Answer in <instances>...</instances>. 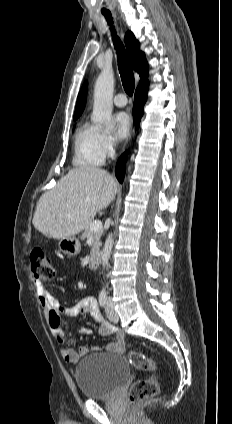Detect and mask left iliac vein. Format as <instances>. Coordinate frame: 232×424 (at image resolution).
I'll return each mask as SVG.
<instances>
[{
	"mask_svg": "<svg viewBox=\"0 0 232 424\" xmlns=\"http://www.w3.org/2000/svg\"><path fill=\"white\" fill-rule=\"evenodd\" d=\"M106 315L110 321L114 323L118 322V319H119L118 314L115 311L110 299H108L106 302Z\"/></svg>",
	"mask_w": 232,
	"mask_h": 424,
	"instance_id": "obj_1",
	"label": "left iliac vein"
}]
</instances>
